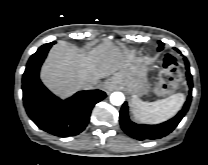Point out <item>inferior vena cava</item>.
I'll list each match as a JSON object with an SVG mask.
<instances>
[{
  "label": "inferior vena cava",
  "instance_id": "inferior-vena-cava-1",
  "mask_svg": "<svg viewBox=\"0 0 208 165\" xmlns=\"http://www.w3.org/2000/svg\"><path fill=\"white\" fill-rule=\"evenodd\" d=\"M98 85L97 81H91L85 85V89H94Z\"/></svg>",
  "mask_w": 208,
  "mask_h": 165
}]
</instances>
